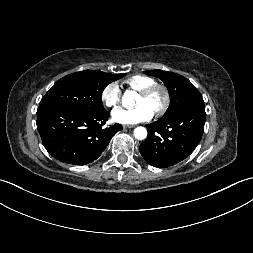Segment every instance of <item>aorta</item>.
<instances>
[{
    "label": "aorta",
    "mask_w": 253,
    "mask_h": 253,
    "mask_svg": "<svg viewBox=\"0 0 253 253\" xmlns=\"http://www.w3.org/2000/svg\"><path fill=\"white\" fill-rule=\"evenodd\" d=\"M135 91H126L122 98V104L125 108H132L135 104L134 98L136 97ZM134 136L138 140H143L147 137V130L144 127H137L134 130Z\"/></svg>",
    "instance_id": "762f6f07"
}]
</instances>
